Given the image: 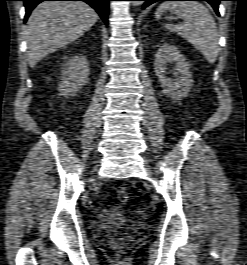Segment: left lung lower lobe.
I'll return each instance as SVG.
<instances>
[{"mask_svg": "<svg viewBox=\"0 0 247 265\" xmlns=\"http://www.w3.org/2000/svg\"><path fill=\"white\" fill-rule=\"evenodd\" d=\"M139 1H145V3L143 4V9H144L147 6L153 4L157 1H171V0H139ZM196 1H207L208 3H210L212 5L216 14L219 16V11H218L219 2L224 1V0H196Z\"/></svg>", "mask_w": 247, "mask_h": 265, "instance_id": "left-lung-lower-lobe-1", "label": "left lung lower lobe"}]
</instances>
